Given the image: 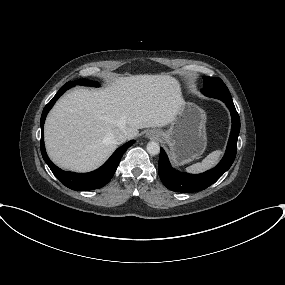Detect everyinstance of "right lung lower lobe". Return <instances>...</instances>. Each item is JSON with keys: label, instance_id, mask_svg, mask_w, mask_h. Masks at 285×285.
<instances>
[{"label": "right lung lower lobe", "instance_id": "obj_1", "mask_svg": "<svg viewBox=\"0 0 285 285\" xmlns=\"http://www.w3.org/2000/svg\"><path fill=\"white\" fill-rule=\"evenodd\" d=\"M70 86L65 84L61 87V89L56 93V95L52 98V100L45 106L40 124H41V153L44 161L47 163L53 174L56 178L66 187L72 190L86 191V190H94L103 187L106 185L111 178L113 177L122 155L124 152L135 143V140H131L118 148L112 156L106 161L104 165H102L99 169L89 172V173H74L63 171L58 168L55 164L51 162L47 153L45 151L44 146V136H43V126L45 122V118L49 110L55 104L56 100L67 90Z\"/></svg>", "mask_w": 285, "mask_h": 285}]
</instances>
